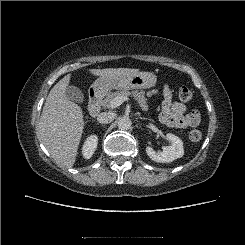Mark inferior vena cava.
<instances>
[{"label":"inferior vena cava","mask_w":245,"mask_h":245,"mask_svg":"<svg viewBox=\"0 0 245 245\" xmlns=\"http://www.w3.org/2000/svg\"><path fill=\"white\" fill-rule=\"evenodd\" d=\"M115 118V113L113 112H102L98 115L97 121L101 124L111 123Z\"/></svg>","instance_id":"inferior-vena-cava-1"}]
</instances>
